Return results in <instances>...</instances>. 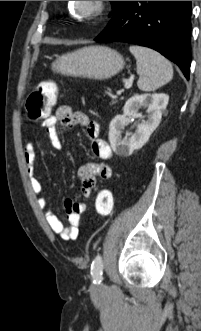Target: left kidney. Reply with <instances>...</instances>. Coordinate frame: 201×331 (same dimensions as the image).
I'll use <instances>...</instances> for the list:
<instances>
[{"mask_svg":"<svg viewBox=\"0 0 201 331\" xmlns=\"http://www.w3.org/2000/svg\"><path fill=\"white\" fill-rule=\"evenodd\" d=\"M168 101L169 96L163 93L136 94L128 99L123 108V115H117L109 125V141L113 151L120 156H130L134 150L142 148L158 127ZM141 107H147L148 119L137 126L134 134L126 133L122 138V130L129 122L128 117L142 116L138 113Z\"/></svg>","mask_w":201,"mask_h":331,"instance_id":"5707ae66","label":"left kidney"}]
</instances>
